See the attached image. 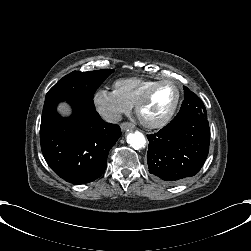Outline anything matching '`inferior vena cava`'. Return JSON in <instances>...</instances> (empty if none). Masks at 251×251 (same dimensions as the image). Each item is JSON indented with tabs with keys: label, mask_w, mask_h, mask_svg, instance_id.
<instances>
[{
	"label": "inferior vena cava",
	"mask_w": 251,
	"mask_h": 251,
	"mask_svg": "<svg viewBox=\"0 0 251 251\" xmlns=\"http://www.w3.org/2000/svg\"><path fill=\"white\" fill-rule=\"evenodd\" d=\"M102 117L106 122L116 123L122 120V115L117 112H103Z\"/></svg>",
	"instance_id": "602c4592"
}]
</instances>
